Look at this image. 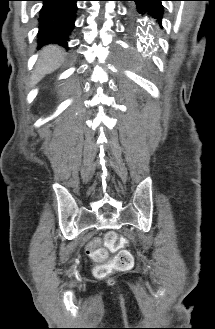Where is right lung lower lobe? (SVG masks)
I'll use <instances>...</instances> for the list:
<instances>
[{
    "mask_svg": "<svg viewBox=\"0 0 215 329\" xmlns=\"http://www.w3.org/2000/svg\"><path fill=\"white\" fill-rule=\"evenodd\" d=\"M43 1L39 16V46L57 43L67 46L74 28L77 1L81 0H40Z\"/></svg>",
    "mask_w": 215,
    "mask_h": 329,
    "instance_id": "98d812e1",
    "label": "right lung lower lobe"
}]
</instances>
